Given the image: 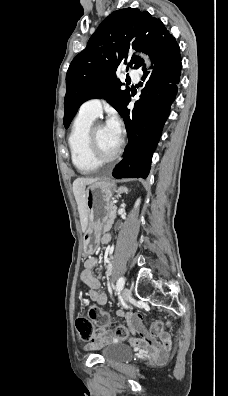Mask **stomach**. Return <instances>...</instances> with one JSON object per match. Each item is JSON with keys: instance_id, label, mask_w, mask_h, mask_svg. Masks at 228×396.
<instances>
[{"instance_id": "stomach-1", "label": "stomach", "mask_w": 228, "mask_h": 396, "mask_svg": "<svg viewBox=\"0 0 228 396\" xmlns=\"http://www.w3.org/2000/svg\"><path fill=\"white\" fill-rule=\"evenodd\" d=\"M115 186L108 180H99L88 185L86 207L88 224L83 235L82 245L84 256L92 255L100 242V236L105 223L108 222L111 208V199Z\"/></svg>"}]
</instances>
